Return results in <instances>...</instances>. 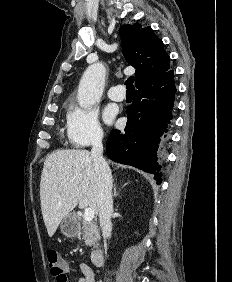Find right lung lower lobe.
<instances>
[{
  "instance_id": "98d812e1",
  "label": "right lung lower lobe",
  "mask_w": 232,
  "mask_h": 282,
  "mask_svg": "<svg viewBox=\"0 0 232 282\" xmlns=\"http://www.w3.org/2000/svg\"><path fill=\"white\" fill-rule=\"evenodd\" d=\"M136 88L133 103L127 108L126 127L110 132L106 153L115 162L155 174L160 184L159 154L172 120L176 93L173 70L143 80Z\"/></svg>"
}]
</instances>
